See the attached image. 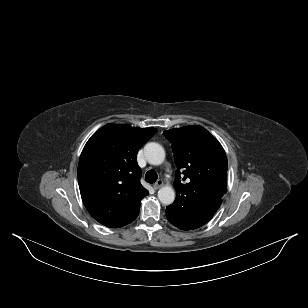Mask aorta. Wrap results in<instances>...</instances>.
Wrapping results in <instances>:
<instances>
[{"label": "aorta", "mask_w": 308, "mask_h": 308, "mask_svg": "<svg viewBox=\"0 0 308 308\" xmlns=\"http://www.w3.org/2000/svg\"><path fill=\"white\" fill-rule=\"evenodd\" d=\"M144 155L147 161L152 165H160L165 160V151L163 147L155 142L146 144ZM158 199L164 205H170L175 200V191L171 186H163L158 191Z\"/></svg>", "instance_id": "aorta-1"}]
</instances>
